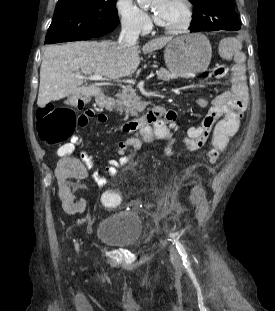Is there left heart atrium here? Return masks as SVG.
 Returning a JSON list of instances; mask_svg holds the SVG:
<instances>
[{"label":"left heart atrium","instance_id":"obj_1","mask_svg":"<svg viewBox=\"0 0 275 311\" xmlns=\"http://www.w3.org/2000/svg\"><path fill=\"white\" fill-rule=\"evenodd\" d=\"M154 19H155V21H156L157 23H159V22H160V15L155 14V15H154Z\"/></svg>","mask_w":275,"mask_h":311}]
</instances>
